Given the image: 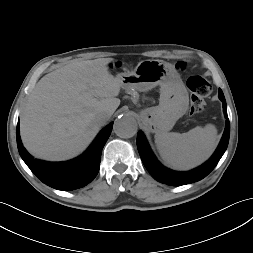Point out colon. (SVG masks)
<instances>
[{"instance_id":"obj_1","label":"colon","mask_w":253,"mask_h":253,"mask_svg":"<svg viewBox=\"0 0 253 253\" xmlns=\"http://www.w3.org/2000/svg\"><path fill=\"white\" fill-rule=\"evenodd\" d=\"M179 68H184V63L178 64ZM187 86L191 92L190 113L199 115L206 108V97L211 93L212 86L210 82L202 76H191L187 81Z\"/></svg>"}]
</instances>
